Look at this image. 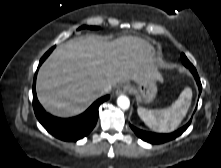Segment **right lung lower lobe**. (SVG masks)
Listing matches in <instances>:
<instances>
[{"mask_svg": "<svg viewBox=\"0 0 221 168\" xmlns=\"http://www.w3.org/2000/svg\"><path fill=\"white\" fill-rule=\"evenodd\" d=\"M52 47L40 60L39 65L52 52ZM37 74V72H36ZM33 83V108L38 121L54 137L63 141H77L87 136L96 125L98 120V108L100 104L109 99V95L95 101L84 113L73 118H57L48 114L38 102L36 97L35 82Z\"/></svg>", "mask_w": 221, "mask_h": 168, "instance_id": "obj_1", "label": "right lung lower lobe"}]
</instances>
